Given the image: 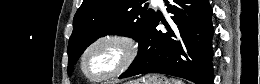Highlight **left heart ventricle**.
I'll use <instances>...</instances> for the list:
<instances>
[{
  "instance_id": "1",
  "label": "left heart ventricle",
  "mask_w": 260,
  "mask_h": 84,
  "mask_svg": "<svg viewBox=\"0 0 260 84\" xmlns=\"http://www.w3.org/2000/svg\"><path fill=\"white\" fill-rule=\"evenodd\" d=\"M121 50L109 43L96 47L88 56L86 69L92 77H101L112 71L118 64Z\"/></svg>"
}]
</instances>
